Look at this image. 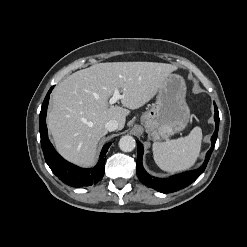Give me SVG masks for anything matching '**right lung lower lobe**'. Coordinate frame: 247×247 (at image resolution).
Listing matches in <instances>:
<instances>
[{
  "mask_svg": "<svg viewBox=\"0 0 247 247\" xmlns=\"http://www.w3.org/2000/svg\"><path fill=\"white\" fill-rule=\"evenodd\" d=\"M53 87L48 91L44 102L42 104L39 129L41 136V145L44 153L46 163L52 172L64 183L72 187H82L96 184L100 181L105 172V154L108 151L111 143H107L102 148L98 163L89 169L79 168L66 160H64L53 148L48 139L47 126H46V113L48 107L49 96Z\"/></svg>",
  "mask_w": 247,
  "mask_h": 247,
  "instance_id": "obj_1",
  "label": "right lung lower lobe"
}]
</instances>
